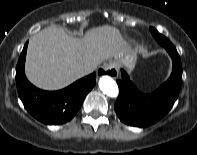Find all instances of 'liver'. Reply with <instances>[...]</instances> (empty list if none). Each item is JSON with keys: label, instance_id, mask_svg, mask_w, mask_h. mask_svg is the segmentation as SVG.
<instances>
[{"label": "liver", "instance_id": "obj_1", "mask_svg": "<svg viewBox=\"0 0 197 155\" xmlns=\"http://www.w3.org/2000/svg\"><path fill=\"white\" fill-rule=\"evenodd\" d=\"M126 50V42L113 26L93 28L79 39L53 25L29 40L25 72L39 88L61 89L83 77L84 66L97 67L108 58H121Z\"/></svg>", "mask_w": 197, "mask_h": 155}]
</instances>
